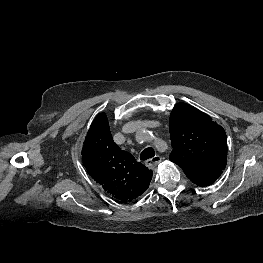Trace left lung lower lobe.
<instances>
[{
	"mask_svg": "<svg viewBox=\"0 0 263 263\" xmlns=\"http://www.w3.org/2000/svg\"><path fill=\"white\" fill-rule=\"evenodd\" d=\"M187 177L198 186H209L213 184L220 175L216 174H201L187 173Z\"/></svg>",
	"mask_w": 263,
	"mask_h": 263,
	"instance_id": "1",
	"label": "left lung lower lobe"
}]
</instances>
